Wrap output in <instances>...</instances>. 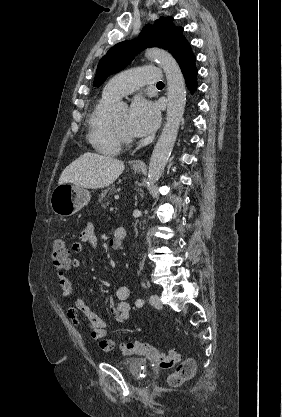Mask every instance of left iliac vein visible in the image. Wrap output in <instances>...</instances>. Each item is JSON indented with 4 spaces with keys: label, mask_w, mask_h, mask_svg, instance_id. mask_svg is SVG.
I'll list each match as a JSON object with an SVG mask.
<instances>
[{
    "label": "left iliac vein",
    "mask_w": 282,
    "mask_h": 417,
    "mask_svg": "<svg viewBox=\"0 0 282 417\" xmlns=\"http://www.w3.org/2000/svg\"><path fill=\"white\" fill-rule=\"evenodd\" d=\"M149 301L151 303V305L153 307H155L156 309H161L162 308V303L159 299V297L157 295H151L149 298Z\"/></svg>",
    "instance_id": "left-iliac-vein-1"
}]
</instances>
